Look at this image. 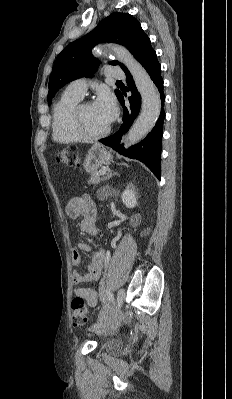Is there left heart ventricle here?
I'll return each mask as SVG.
<instances>
[{
  "mask_svg": "<svg viewBox=\"0 0 232 399\" xmlns=\"http://www.w3.org/2000/svg\"><path fill=\"white\" fill-rule=\"evenodd\" d=\"M108 125L103 118L95 111L93 106L87 107L81 114V127L89 135H98L105 132Z\"/></svg>",
  "mask_w": 232,
  "mask_h": 399,
  "instance_id": "left-heart-ventricle-1",
  "label": "left heart ventricle"
}]
</instances>
